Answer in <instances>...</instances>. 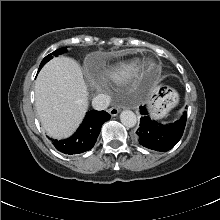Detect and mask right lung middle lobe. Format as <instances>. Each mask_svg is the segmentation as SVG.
I'll list each match as a JSON object with an SVG mask.
<instances>
[{
    "mask_svg": "<svg viewBox=\"0 0 220 220\" xmlns=\"http://www.w3.org/2000/svg\"><path fill=\"white\" fill-rule=\"evenodd\" d=\"M64 52H66V48H60L58 50H56L55 52H53L52 54L54 55H58V54H63ZM52 54L47 55L41 62L39 70L49 61L53 58Z\"/></svg>",
    "mask_w": 220,
    "mask_h": 220,
    "instance_id": "right-lung-middle-lobe-1",
    "label": "right lung middle lobe"
}]
</instances>
